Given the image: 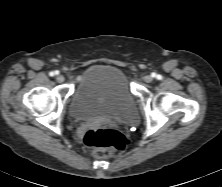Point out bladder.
<instances>
[{"mask_svg": "<svg viewBox=\"0 0 222 187\" xmlns=\"http://www.w3.org/2000/svg\"><path fill=\"white\" fill-rule=\"evenodd\" d=\"M70 117L85 121L103 117L119 124H135L138 112L129 83L121 69L102 64L83 75L68 105Z\"/></svg>", "mask_w": 222, "mask_h": 187, "instance_id": "obj_1", "label": "bladder"}]
</instances>
